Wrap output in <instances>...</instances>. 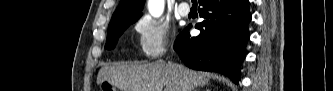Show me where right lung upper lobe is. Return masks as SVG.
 I'll return each instance as SVG.
<instances>
[{
  "mask_svg": "<svg viewBox=\"0 0 333 91\" xmlns=\"http://www.w3.org/2000/svg\"><path fill=\"white\" fill-rule=\"evenodd\" d=\"M144 2L145 0H121L110 22L140 17Z\"/></svg>",
  "mask_w": 333,
  "mask_h": 91,
  "instance_id": "right-lung-upper-lobe-1",
  "label": "right lung upper lobe"
}]
</instances>
